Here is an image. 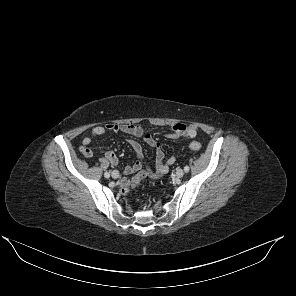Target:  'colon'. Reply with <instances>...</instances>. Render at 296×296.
Returning a JSON list of instances; mask_svg holds the SVG:
<instances>
[{"label":"colon","instance_id":"5ec220e1","mask_svg":"<svg viewBox=\"0 0 296 296\" xmlns=\"http://www.w3.org/2000/svg\"><path fill=\"white\" fill-rule=\"evenodd\" d=\"M190 148L194 151H199L201 149V144L197 141H193L190 143ZM142 178L140 176H138L137 178H135V185L139 184L141 182ZM132 186L129 185H123L122 186V193L126 194L129 192V189Z\"/></svg>","mask_w":296,"mask_h":296}]
</instances>
